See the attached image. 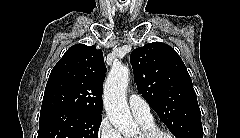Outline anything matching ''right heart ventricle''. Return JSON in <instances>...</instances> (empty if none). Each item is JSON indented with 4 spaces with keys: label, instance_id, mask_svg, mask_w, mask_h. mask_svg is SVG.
<instances>
[{
    "label": "right heart ventricle",
    "instance_id": "obj_1",
    "mask_svg": "<svg viewBox=\"0 0 240 138\" xmlns=\"http://www.w3.org/2000/svg\"><path fill=\"white\" fill-rule=\"evenodd\" d=\"M137 118V117H136ZM142 128L154 126L152 119H140L137 118Z\"/></svg>",
    "mask_w": 240,
    "mask_h": 138
}]
</instances>
